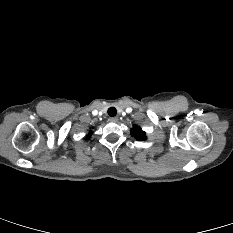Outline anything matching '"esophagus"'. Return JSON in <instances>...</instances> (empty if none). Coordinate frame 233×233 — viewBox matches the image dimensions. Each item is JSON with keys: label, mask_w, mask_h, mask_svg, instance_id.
<instances>
[{"label": "esophagus", "mask_w": 233, "mask_h": 233, "mask_svg": "<svg viewBox=\"0 0 233 233\" xmlns=\"http://www.w3.org/2000/svg\"><path fill=\"white\" fill-rule=\"evenodd\" d=\"M109 120L111 122H117L118 121V117H111V118H109Z\"/></svg>", "instance_id": "1"}]
</instances>
